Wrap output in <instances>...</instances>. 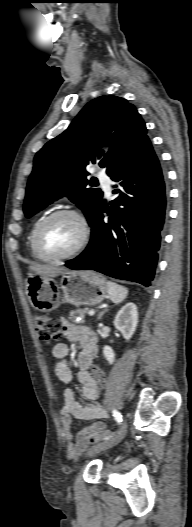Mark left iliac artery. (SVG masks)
<instances>
[{"instance_id":"1","label":"left iliac artery","mask_w":192,"mask_h":527,"mask_svg":"<svg viewBox=\"0 0 192 527\" xmlns=\"http://www.w3.org/2000/svg\"><path fill=\"white\" fill-rule=\"evenodd\" d=\"M112 413H113V416H114L115 420L117 421V423L121 424V422H122V415L120 414V412L118 410L114 409Z\"/></svg>"}]
</instances>
